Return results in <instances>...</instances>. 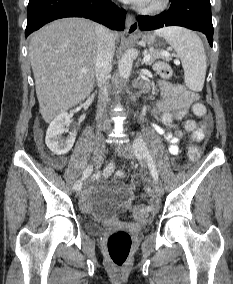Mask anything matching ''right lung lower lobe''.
Returning <instances> with one entry per match:
<instances>
[{
    "label": "right lung lower lobe",
    "instance_id": "right-lung-lower-lobe-1",
    "mask_svg": "<svg viewBox=\"0 0 233 284\" xmlns=\"http://www.w3.org/2000/svg\"><path fill=\"white\" fill-rule=\"evenodd\" d=\"M126 11L110 0H29L26 37L44 24L64 17H85L111 29L125 28Z\"/></svg>",
    "mask_w": 233,
    "mask_h": 284
}]
</instances>
